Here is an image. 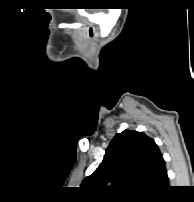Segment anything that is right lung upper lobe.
I'll return each instance as SVG.
<instances>
[{
  "label": "right lung upper lobe",
  "instance_id": "cb5924a9",
  "mask_svg": "<svg viewBox=\"0 0 194 202\" xmlns=\"http://www.w3.org/2000/svg\"><path fill=\"white\" fill-rule=\"evenodd\" d=\"M82 185L99 195L145 198L164 192L168 175L154 140L125 130L114 137L103 161Z\"/></svg>",
  "mask_w": 194,
  "mask_h": 202
}]
</instances>
